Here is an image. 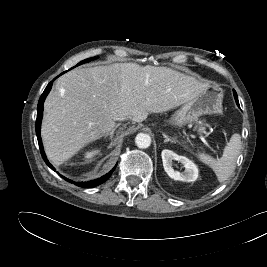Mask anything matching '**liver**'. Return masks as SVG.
I'll return each mask as SVG.
<instances>
[{
	"label": "liver",
	"mask_w": 267,
	"mask_h": 267,
	"mask_svg": "<svg viewBox=\"0 0 267 267\" xmlns=\"http://www.w3.org/2000/svg\"><path fill=\"white\" fill-rule=\"evenodd\" d=\"M208 87L167 67L115 63L73 69L57 79L44 102L46 155L60 165L110 133L116 118L142 122L148 113L180 106Z\"/></svg>",
	"instance_id": "liver-1"
}]
</instances>
